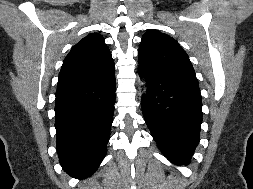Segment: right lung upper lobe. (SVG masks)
<instances>
[{"instance_id": "obj_1", "label": "right lung upper lobe", "mask_w": 253, "mask_h": 189, "mask_svg": "<svg viewBox=\"0 0 253 189\" xmlns=\"http://www.w3.org/2000/svg\"><path fill=\"white\" fill-rule=\"evenodd\" d=\"M115 72L111 53L98 33L81 39L65 58L58 83H89Z\"/></svg>"}]
</instances>
